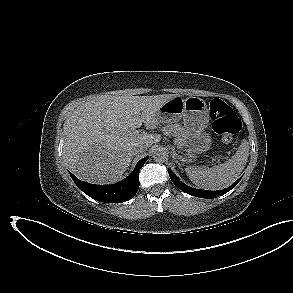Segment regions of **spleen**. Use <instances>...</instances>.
I'll use <instances>...</instances> for the list:
<instances>
[{"label": "spleen", "mask_w": 293, "mask_h": 293, "mask_svg": "<svg viewBox=\"0 0 293 293\" xmlns=\"http://www.w3.org/2000/svg\"><path fill=\"white\" fill-rule=\"evenodd\" d=\"M249 157V143L242 140L236 153L223 164L211 168L187 167L186 174L199 188L220 190L230 186L245 168Z\"/></svg>", "instance_id": "obj_1"}]
</instances>
